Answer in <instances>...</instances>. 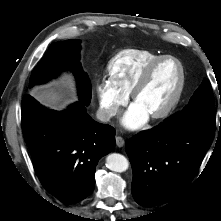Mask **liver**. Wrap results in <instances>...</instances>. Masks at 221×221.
<instances>
[{"label": "liver", "mask_w": 221, "mask_h": 221, "mask_svg": "<svg viewBox=\"0 0 221 221\" xmlns=\"http://www.w3.org/2000/svg\"><path fill=\"white\" fill-rule=\"evenodd\" d=\"M31 95L41 104L54 110H62L67 103L75 100V96L66 85L42 86L32 90Z\"/></svg>", "instance_id": "liver-1"}]
</instances>
